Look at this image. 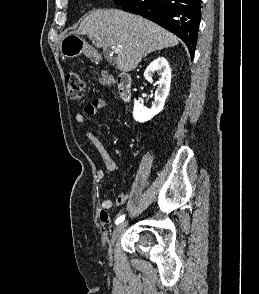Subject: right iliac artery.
<instances>
[{"label": "right iliac artery", "instance_id": "obj_1", "mask_svg": "<svg viewBox=\"0 0 259 294\" xmlns=\"http://www.w3.org/2000/svg\"><path fill=\"white\" fill-rule=\"evenodd\" d=\"M125 219V215H121L120 217H118L115 221V224L118 225L119 223L123 222Z\"/></svg>", "mask_w": 259, "mask_h": 294}]
</instances>
